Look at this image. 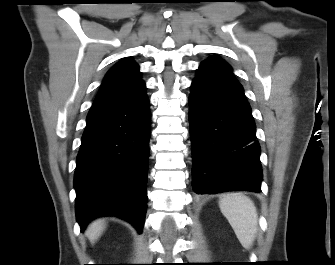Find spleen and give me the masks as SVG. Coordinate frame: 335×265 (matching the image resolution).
Returning a JSON list of instances; mask_svg holds the SVG:
<instances>
[{"label":"spleen","instance_id":"3e777b00","mask_svg":"<svg viewBox=\"0 0 335 265\" xmlns=\"http://www.w3.org/2000/svg\"><path fill=\"white\" fill-rule=\"evenodd\" d=\"M219 207L241 245L250 249L258 226V215L253 201L242 193H228L220 199Z\"/></svg>","mask_w":335,"mask_h":265}]
</instances>
